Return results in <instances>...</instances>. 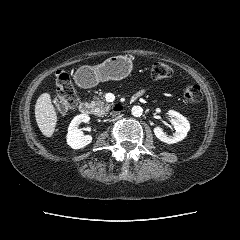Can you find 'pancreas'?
Segmentation results:
<instances>
[{"label": "pancreas", "instance_id": "1", "mask_svg": "<svg viewBox=\"0 0 240 240\" xmlns=\"http://www.w3.org/2000/svg\"><path fill=\"white\" fill-rule=\"evenodd\" d=\"M92 106L95 110V113L99 116L105 115L108 112L113 104L107 103L103 97H94V101H92Z\"/></svg>", "mask_w": 240, "mask_h": 240}]
</instances>
